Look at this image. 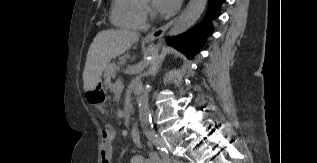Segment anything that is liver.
Segmentation results:
<instances>
[{
	"mask_svg": "<svg viewBox=\"0 0 317 163\" xmlns=\"http://www.w3.org/2000/svg\"><path fill=\"white\" fill-rule=\"evenodd\" d=\"M140 34L128 30L100 31L91 43L83 71L84 90L93 89L101 81L102 72L111 59L129 50Z\"/></svg>",
	"mask_w": 317,
	"mask_h": 163,
	"instance_id": "6515ba94",
	"label": "liver"
}]
</instances>
